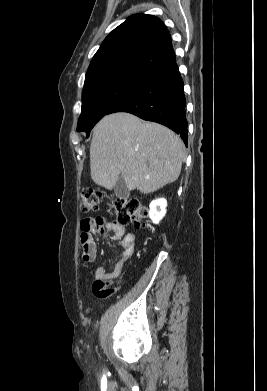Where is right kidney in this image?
Returning <instances> with one entry per match:
<instances>
[{
  "label": "right kidney",
  "instance_id": "right-kidney-1",
  "mask_svg": "<svg viewBox=\"0 0 267 391\" xmlns=\"http://www.w3.org/2000/svg\"><path fill=\"white\" fill-rule=\"evenodd\" d=\"M167 207V201L164 198L153 200L150 203L149 217L154 223L159 221L165 216Z\"/></svg>",
  "mask_w": 267,
  "mask_h": 391
}]
</instances>
